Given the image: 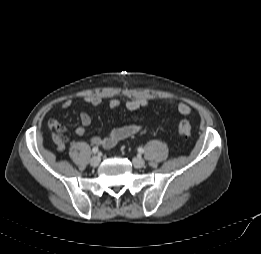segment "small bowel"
<instances>
[{
  "mask_svg": "<svg viewBox=\"0 0 261 254\" xmlns=\"http://www.w3.org/2000/svg\"><path fill=\"white\" fill-rule=\"evenodd\" d=\"M85 104L88 106H98L102 103V98L97 95H90L85 97L84 99ZM151 100L147 98H134L126 103V108L130 111H136L142 108H146L150 104ZM166 105L176 109L179 113L183 115H187L190 113L191 108L189 105L183 102H179L172 99H166L163 101ZM73 102L71 100H65L62 104L60 109L67 110L71 108ZM120 105V101L116 98H112L108 102V106L110 109L114 110L118 108ZM80 126H78L74 133L77 136H83L86 131V127H88L91 122L92 118L87 112L80 113ZM48 127L50 129H54L56 131V140L59 144H63L66 141L65 134L68 132L66 126L55 119H50L48 121ZM143 129L140 125H126L121 126L118 128L113 129L108 133V135L104 138L99 136H92L90 138V142L97 146H102L106 149L113 148L117 145L120 141L135 135L136 133L140 132Z\"/></svg>",
  "mask_w": 261,
  "mask_h": 254,
  "instance_id": "c3829d8e",
  "label": "small bowel"
}]
</instances>
